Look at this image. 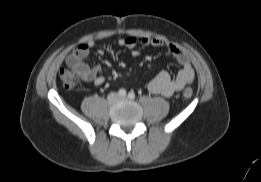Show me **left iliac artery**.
<instances>
[{
    "mask_svg": "<svg viewBox=\"0 0 261 182\" xmlns=\"http://www.w3.org/2000/svg\"><path fill=\"white\" fill-rule=\"evenodd\" d=\"M128 97H129L130 99H134V98H135V93L132 92V91L129 92Z\"/></svg>",
    "mask_w": 261,
    "mask_h": 182,
    "instance_id": "obj_1",
    "label": "left iliac artery"
}]
</instances>
